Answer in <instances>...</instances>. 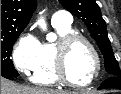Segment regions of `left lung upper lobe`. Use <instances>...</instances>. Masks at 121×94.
<instances>
[{
    "label": "left lung upper lobe",
    "instance_id": "5c2ea615",
    "mask_svg": "<svg viewBox=\"0 0 121 94\" xmlns=\"http://www.w3.org/2000/svg\"><path fill=\"white\" fill-rule=\"evenodd\" d=\"M61 5L81 19L97 42L104 55L105 69L113 76H121V71L107 35L106 23L95 0H59Z\"/></svg>",
    "mask_w": 121,
    "mask_h": 94
}]
</instances>
